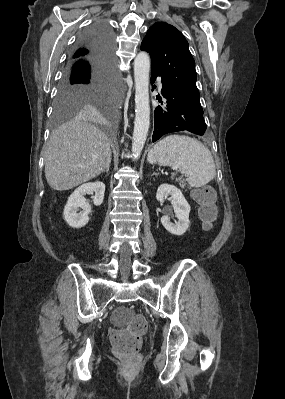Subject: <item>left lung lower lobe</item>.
<instances>
[{"mask_svg": "<svg viewBox=\"0 0 285 399\" xmlns=\"http://www.w3.org/2000/svg\"><path fill=\"white\" fill-rule=\"evenodd\" d=\"M161 76L154 69L151 70V83L155 78ZM162 77V76H161ZM161 97L157 98L163 106H158L154 113L155 128L153 142L163 135L171 132L189 131L194 134L203 135L206 131V123L203 113L200 112L190 101L164 77H162Z\"/></svg>", "mask_w": 285, "mask_h": 399, "instance_id": "obj_1", "label": "left lung lower lobe"}]
</instances>
